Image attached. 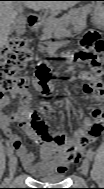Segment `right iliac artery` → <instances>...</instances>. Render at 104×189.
I'll return each instance as SVG.
<instances>
[{"label": "right iliac artery", "mask_w": 104, "mask_h": 189, "mask_svg": "<svg viewBox=\"0 0 104 189\" xmlns=\"http://www.w3.org/2000/svg\"><path fill=\"white\" fill-rule=\"evenodd\" d=\"M7 155H8V157H11L13 155V148H11V147L8 148Z\"/></svg>", "instance_id": "right-iliac-artery-1"}]
</instances>
